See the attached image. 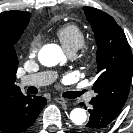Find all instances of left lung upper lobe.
Listing matches in <instances>:
<instances>
[{
	"label": "left lung upper lobe",
	"mask_w": 133,
	"mask_h": 133,
	"mask_svg": "<svg viewBox=\"0 0 133 133\" xmlns=\"http://www.w3.org/2000/svg\"><path fill=\"white\" fill-rule=\"evenodd\" d=\"M95 34L98 79L93 85L97 98L123 108L129 93L133 57L121 27L107 13L83 8Z\"/></svg>",
	"instance_id": "obj_1"
}]
</instances>
